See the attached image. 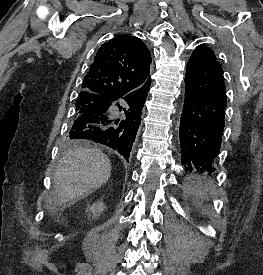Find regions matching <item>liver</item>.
Segmentation results:
<instances>
[{"label":"liver","mask_w":263,"mask_h":275,"mask_svg":"<svg viewBox=\"0 0 263 275\" xmlns=\"http://www.w3.org/2000/svg\"><path fill=\"white\" fill-rule=\"evenodd\" d=\"M111 175L109 158L99 149L75 147L58 162L53 176L50 212L62 210L104 185Z\"/></svg>","instance_id":"1"}]
</instances>
